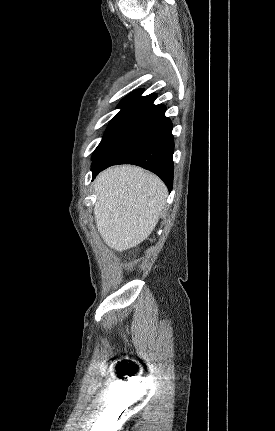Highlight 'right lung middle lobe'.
Wrapping results in <instances>:
<instances>
[{
	"mask_svg": "<svg viewBox=\"0 0 275 431\" xmlns=\"http://www.w3.org/2000/svg\"><path fill=\"white\" fill-rule=\"evenodd\" d=\"M134 116V113L119 112L109 123L105 135L96 148L92 160L100 153V151L107 145V143L119 132V130Z\"/></svg>",
	"mask_w": 275,
	"mask_h": 431,
	"instance_id": "1",
	"label": "right lung middle lobe"
}]
</instances>
